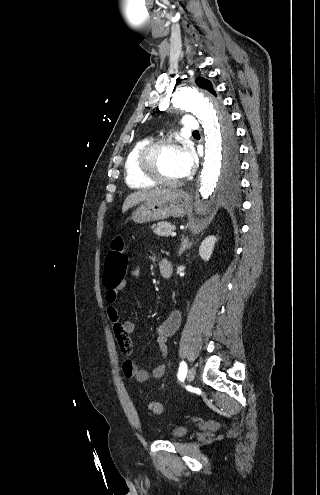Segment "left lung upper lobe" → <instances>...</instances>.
I'll use <instances>...</instances> for the list:
<instances>
[{"instance_id": "1", "label": "left lung upper lobe", "mask_w": 320, "mask_h": 495, "mask_svg": "<svg viewBox=\"0 0 320 495\" xmlns=\"http://www.w3.org/2000/svg\"><path fill=\"white\" fill-rule=\"evenodd\" d=\"M196 84L207 90L208 92L216 95L213 90L212 84L209 80L198 77ZM222 167L226 176H231L236 173L239 167L238 161V146L235 140L234 131L227 123V114L222 115Z\"/></svg>"}]
</instances>
